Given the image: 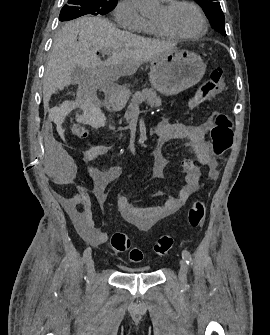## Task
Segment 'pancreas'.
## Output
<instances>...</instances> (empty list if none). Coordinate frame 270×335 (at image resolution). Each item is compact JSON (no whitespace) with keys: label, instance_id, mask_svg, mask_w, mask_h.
Segmentation results:
<instances>
[{"label":"pancreas","instance_id":"obj_1","mask_svg":"<svg viewBox=\"0 0 270 335\" xmlns=\"http://www.w3.org/2000/svg\"><path fill=\"white\" fill-rule=\"evenodd\" d=\"M142 102H146L148 106H151V108H159L162 104L161 98L157 96V92L153 90V88H145V90H142L141 94H134L132 96V102L130 106H128V110L124 116L126 122H129L131 118V112L132 108H135V106H139V104H142Z\"/></svg>","mask_w":270,"mask_h":335}]
</instances>
